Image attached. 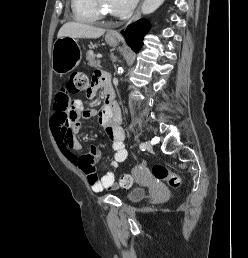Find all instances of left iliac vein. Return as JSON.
<instances>
[{
	"mask_svg": "<svg viewBox=\"0 0 248 258\" xmlns=\"http://www.w3.org/2000/svg\"><path fill=\"white\" fill-rule=\"evenodd\" d=\"M145 145L147 151H152L153 147L150 141H146Z\"/></svg>",
	"mask_w": 248,
	"mask_h": 258,
	"instance_id": "4c4485c4",
	"label": "left iliac vein"
}]
</instances>
